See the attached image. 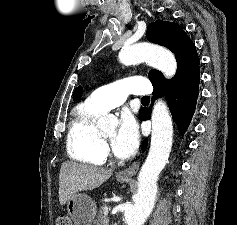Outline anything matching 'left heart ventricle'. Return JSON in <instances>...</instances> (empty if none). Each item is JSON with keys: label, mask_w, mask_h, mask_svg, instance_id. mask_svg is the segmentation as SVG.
<instances>
[{"label": "left heart ventricle", "mask_w": 237, "mask_h": 225, "mask_svg": "<svg viewBox=\"0 0 237 225\" xmlns=\"http://www.w3.org/2000/svg\"><path fill=\"white\" fill-rule=\"evenodd\" d=\"M103 134L109 142H112L116 134V129H109L107 131H104Z\"/></svg>", "instance_id": "b2bd125f"}]
</instances>
